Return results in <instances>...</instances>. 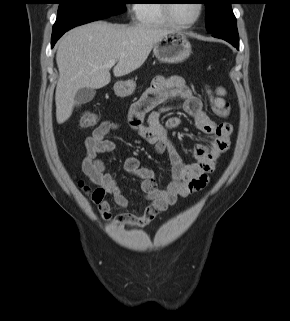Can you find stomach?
I'll list each match as a JSON object with an SVG mask.
<instances>
[{
	"mask_svg": "<svg viewBox=\"0 0 290 321\" xmlns=\"http://www.w3.org/2000/svg\"><path fill=\"white\" fill-rule=\"evenodd\" d=\"M153 54L162 63H180L190 56L191 44L182 33L170 32L154 45ZM135 87L133 80L118 81L114 84V92L117 96L126 97L133 93Z\"/></svg>",
	"mask_w": 290,
	"mask_h": 321,
	"instance_id": "stomach-1",
	"label": "stomach"
}]
</instances>
